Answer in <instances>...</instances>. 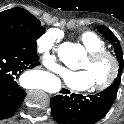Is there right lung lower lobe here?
I'll list each match as a JSON object with an SVG mask.
<instances>
[{"mask_svg":"<svg viewBox=\"0 0 124 124\" xmlns=\"http://www.w3.org/2000/svg\"><path fill=\"white\" fill-rule=\"evenodd\" d=\"M38 65L37 49L22 41L0 39V120L11 117L26 96L16 79Z\"/></svg>","mask_w":124,"mask_h":124,"instance_id":"1","label":"right lung lower lobe"}]
</instances>
